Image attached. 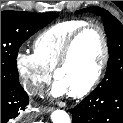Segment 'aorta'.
Instances as JSON below:
<instances>
[{
    "label": "aorta",
    "instance_id": "1",
    "mask_svg": "<svg viewBox=\"0 0 123 123\" xmlns=\"http://www.w3.org/2000/svg\"><path fill=\"white\" fill-rule=\"evenodd\" d=\"M51 120L53 123H71L69 115L64 110L60 109L52 112Z\"/></svg>",
    "mask_w": 123,
    "mask_h": 123
}]
</instances>
